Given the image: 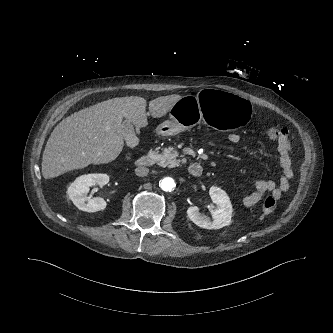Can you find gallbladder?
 <instances>
[{"mask_svg":"<svg viewBox=\"0 0 333 333\" xmlns=\"http://www.w3.org/2000/svg\"><path fill=\"white\" fill-rule=\"evenodd\" d=\"M122 135L129 147H134L138 144V138L135 135L134 128L131 122L125 120L122 123Z\"/></svg>","mask_w":333,"mask_h":333,"instance_id":"obj_1","label":"gallbladder"}]
</instances>
